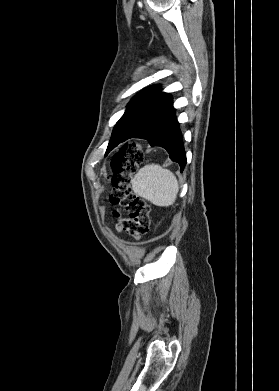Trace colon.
<instances>
[{
    "label": "colon",
    "instance_id": "1",
    "mask_svg": "<svg viewBox=\"0 0 279 391\" xmlns=\"http://www.w3.org/2000/svg\"><path fill=\"white\" fill-rule=\"evenodd\" d=\"M142 160L143 151L138 144L123 145L112 158L109 179L113 188L110 202L125 207L129 213L123 217L119 211L113 212L117 219L116 227L135 238L145 235L150 226V206L131 188L132 177Z\"/></svg>",
    "mask_w": 279,
    "mask_h": 391
}]
</instances>
